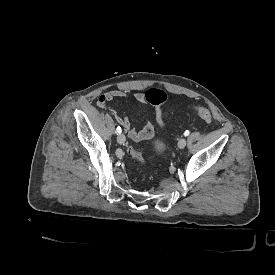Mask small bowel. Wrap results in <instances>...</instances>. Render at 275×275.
Wrapping results in <instances>:
<instances>
[{
    "instance_id": "c3829d8e",
    "label": "small bowel",
    "mask_w": 275,
    "mask_h": 275,
    "mask_svg": "<svg viewBox=\"0 0 275 275\" xmlns=\"http://www.w3.org/2000/svg\"><path fill=\"white\" fill-rule=\"evenodd\" d=\"M127 97V90L123 89H113L107 91L100 96H98L96 100V106L101 109H106L111 112V114L115 117L117 122L128 131L129 138L134 142H140L145 139H148L153 133V124L150 120H147L144 127L142 129H137L136 127H132L130 124V120L126 115L119 113L114 108L109 106V103L115 99H123ZM134 99L140 104H146L147 100L145 95L142 92L136 91L133 93Z\"/></svg>"
}]
</instances>
